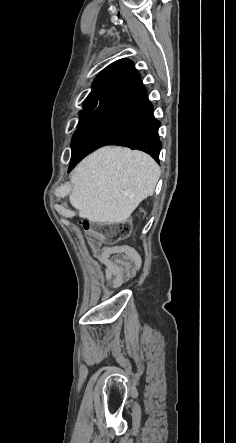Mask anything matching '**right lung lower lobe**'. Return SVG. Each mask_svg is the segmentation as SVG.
Masks as SVG:
<instances>
[{"instance_id": "obj_1", "label": "right lung lower lobe", "mask_w": 236, "mask_h": 443, "mask_svg": "<svg viewBox=\"0 0 236 443\" xmlns=\"http://www.w3.org/2000/svg\"><path fill=\"white\" fill-rule=\"evenodd\" d=\"M153 105L139 80L130 88L108 97L72 140L71 171L90 152L104 145L142 150L158 161L161 142Z\"/></svg>"}]
</instances>
